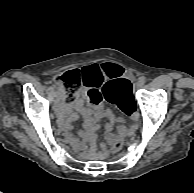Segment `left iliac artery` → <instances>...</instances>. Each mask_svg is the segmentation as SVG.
<instances>
[{
  "label": "left iliac artery",
  "mask_w": 194,
  "mask_h": 193,
  "mask_svg": "<svg viewBox=\"0 0 194 193\" xmlns=\"http://www.w3.org/2000/svg\"><path fill=\"white\" fill-rule=\"evenodd\" d=\"M141 84H144L146 82V78L145 77H141L140 80Z\"/></svg>",
  "instance_id": "obj_1"
}]
</instances>
